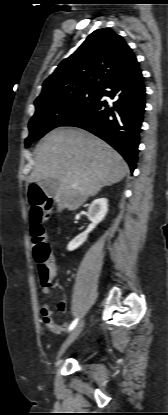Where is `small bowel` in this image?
<instances>
[{"mask_svg": "<svg viewBox=\"0 0 168 415\" xmlns=\"http://www.w3.org/2000/svg\"><path fill=\"white\" fill-rule=\"evenodd\" d=\"M51 288H55V289H62L61 285L59 283H55L52 286H48V285H44L41 289L42 293L44 295H48L50 293ZM57 309L59 312H64L66 310V303L64 301H60L57 305ZM42 318H43V322L45 323V325L47 326L48 329H50L51 331L55 332V333H60L63 332L66 327L67 324L63 323V324H57L53 317H52V310L50 308V306L48 304H44L41 306L40 309Z\"/></svg>", "mask_w": 168, "mask_h": 415, "instance_id": "c3829d8e", "label": "small bowel"}]
</instances>
